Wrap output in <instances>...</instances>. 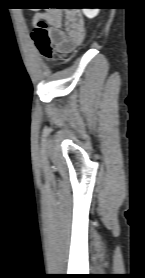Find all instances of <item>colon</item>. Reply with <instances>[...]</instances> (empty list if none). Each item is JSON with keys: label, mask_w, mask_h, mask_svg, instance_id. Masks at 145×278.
<instances>
[{"label": "colon", "mask_w": 145, "mask_h": 278, "mask_svg": "<svg viewBox=\"0 0 145 278\" xmlns=\"http://www.w3.org/2000/svg\"><path fill=\"white\" fill-rule=\"evenodd\" d=\"M70 7L75 9L81 8L78 4L71 5ZM51 8L53 7H46V9ZM33 9H40V7L36 6L33 7ZM33 39L39 47L41 55L47 60L50 59L53 53L48 34V23L44 17H41L36 21V29L33 33Z\"/></svg>", "instance_id": "5ec220e1"}]
</instances>
